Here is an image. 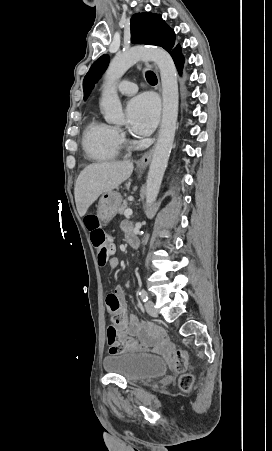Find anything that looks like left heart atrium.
Instances as JSON below:
<instances>
[{
	"mask_svg": "<svg viewBox=\"0 0 272 451\" xmlns=\"http://www.w3.org/2000/svg\"><path fill=\"white\" fill-rule=\"evenodd\" d=\"M159 106L156 98L150 94L132 99L126 110L130 131L138 135H148L156 125Z\"/></svg>",
	"mask_w": 272,
	"mask_h": 451,
	"instance_id": "1",
	"label": "left heart atrium"
}]
</instances>
